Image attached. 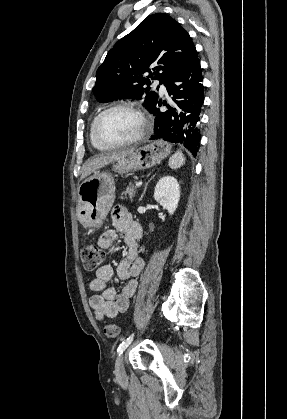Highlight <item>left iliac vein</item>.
<instances>
[{
    "instance_id": "obj_1",
    "label": "left iliac vein",
    "mask_w": 287,
    "mask_h": 419,
    "mask_svg": "<svg viewBox=\"0 0 287 419\" xmlns=\"http://www.w3.org/2000/svg\"><path fill=\"white\" fill-rule=\"evenodd\" d=\"M115 374H116L117 379L119 380L126 378V373H125V368H124V354H120L116 359Z\"/></svg>"
}]
</instances>
